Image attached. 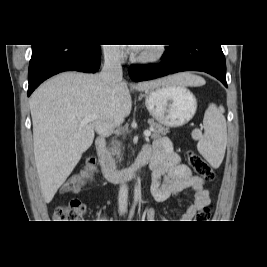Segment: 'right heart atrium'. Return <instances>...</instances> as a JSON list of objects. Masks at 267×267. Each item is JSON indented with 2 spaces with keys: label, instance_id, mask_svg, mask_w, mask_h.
Here are the masks:
<instances>
[{
  "label": "right heart atrium",
  "instance_id": "right-heart-atrium-1",
  "mask_svg": "<svg viewBox=\"0 0 267 267\" xmlns=\"http://www.w3.org/2000/svg\"><path fill=\"white\" fill-rule=\"evenodd\" d=\"M105 54L110 59H117L120 55V52L117 48L110 47L105 49Z\"/></svg>",
  "mask_w": 267,
  "mask_h": 267
}]
</instances>
